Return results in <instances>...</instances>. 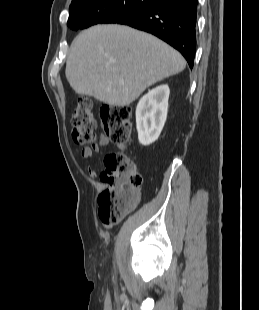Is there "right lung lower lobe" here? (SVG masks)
I'll return each mask as SVG.
<instances>
[{"instance_id":"1","label":"right lung lower lobe","mask_w":259,"mask_h":310,"mask_svg":"<svg viewBox=\"0 0 259 310\" xmlns=\"http://www.w3.org/2000/svg\"><path fill=\"white\" fill-rule=\"evenodd\" d=\"M198 0H153L147 7L119 20L164 40L177 49L193 68L196 51Z\"/></svg>"}]
</instances>
